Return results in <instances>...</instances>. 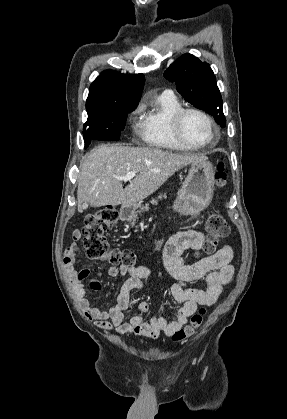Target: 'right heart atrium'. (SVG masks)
I'll return each mask as SVG.
<instances>
[{"label":"right heart atrium","instance_id":"d8ad5b80","mask_svg":"<svg viewBox=\"0 0 287 419\" xmlns=\"http://www.w3.org/2000/svg\"><path fill=\"white\" fill-rule=\"evenodd\" d=\"M141 108L137 107L134 111H133V115H136L140 112Z\"/></svg>","mask_w":287,"mask_h":419}]
</instances>
